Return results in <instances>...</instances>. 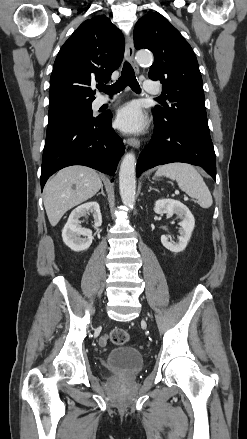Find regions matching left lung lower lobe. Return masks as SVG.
Masks as SVG:
<instances>
[{
  "instance_id": "0a47b994",
  "label": "left lung lower lobe",
  "mask_w": 247,
  "mask_h": 439,
  "mask_svg": "<svg viewBox=\"0 0 247 439\" xmlns=\"http://www.w3.org/2000/svg\"><path fill=\"white\" fill-rule=\"evenodd\" d=\"M154 121L153 137L138 158L137 177L157 165L184 162L203 167L215 180L216 158L208 130L187 121L174 124Z\"/></svg>"
}]
</instances>
